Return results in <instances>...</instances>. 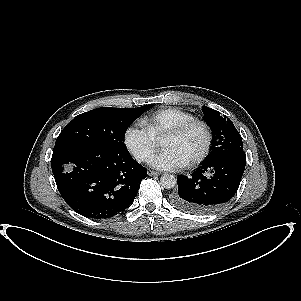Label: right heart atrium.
<instances>
[{"mask_svg":"<svg viewBox=\"0 0 301 301\" xmlns=\"http://www.w3.org/2000/svg\"><path fill=\"white\" fill-rule=\"evenodd\" d=\"M125 145L128 150L140 161H147L158 149V142L144 128L130 126L125 132Z\"/></svg>","mask_w":301,"mask_h":301,"instance_id":"right-heart-atrium-1","label":"right heart atrium"}]
</instances>
